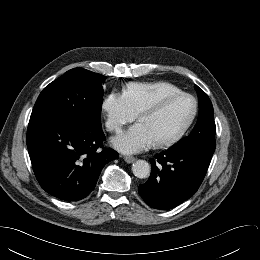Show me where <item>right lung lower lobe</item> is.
Returning a JSON list of instances; mask_svg holds the SVG:
<instances>
[{"mask_svg": "<svg viewBox=\"0 0 260 260\" xmlns=\"http://www.w3.org/2000/svg\"><path fill=\"white\" fill-rule=\"evenodd\" d=\"M104 140L101 125L58 116L30 119L27 147L41 187L64 201L86 198L104 165L118 158L113 149H100Z\"/></svg>", "mask_w": 260, "mask_h": 260, "instance_id": "1", "label": "right lung lower lobe"}]
</instances>
